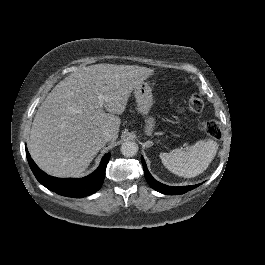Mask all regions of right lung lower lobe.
Here are the masks:
<instances>
[{"label":"right lung lower lobe","mask_w":265,"mask_h":265,"mask_svg":"<svg viewBox=\"0 0 265 265\" xmlns=\"http://www.w3.org/2000/svg\"><path fill=\"white\" fill-rule=\"evenodd\" d=\"M26 157L35 177L47 189L62 196L72 198H83L95 193L101 188L104 181L106 166L110 159V153L104 155L99 167L93 173L80 179H61L49 176L39 169V167L30 157V154L28 153L27 149Z\"/></svg>","instance_id":"right-lung-lower-lobe-1"}]
</instances>
